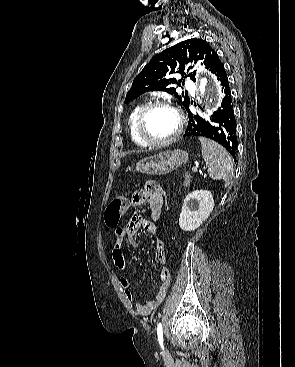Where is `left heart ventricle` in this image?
Here are the masks:
<instances>
[{"instance_id":"b2bd125f","label":"left heart ventricle","mask_w":295,"mask_h":367,"mask_svg":"<svg viewBox=\"0 0 295 367\" xmlns=\"http://www.w3.org/2000/svg\"><path fill=\"white\" fill-rule=\"evenodd\" d=\"M178 127L176 114L169 108L156 107L149 111L144 123L146 135L153 140L172 136Z\"/></svg>"}]
</instances>
